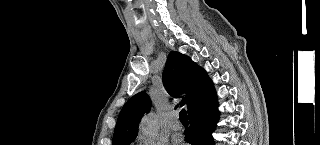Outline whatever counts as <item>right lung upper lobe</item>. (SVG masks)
I'll use <instances>...</instances> for the list:
<instances>
[{"label": "right lung upper lobe", "mask_w": 320, "mask_h": 145, "mask_svg": "<svg viewBox=\"0 0 320 145\" xmlns=\"http://www.w3.org/2000/svg\"><path fill=\"white\" fill-rule=\"evenodd\" d=\"M211 79L188 56L172 51L163 72V84L173 97L187 96L180 105H187L188 113L199 106L208 92ZM151 100L144 92L134 95L122 108L115 127L113 145H129L137 136L138 123L149 112Z\"/></svg>", "instance_id": "cb5924a9"}]
</instances>
